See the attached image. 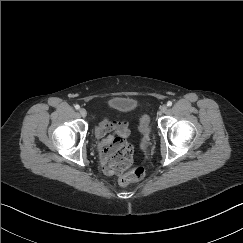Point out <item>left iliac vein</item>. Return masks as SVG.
Masks as SVG:
<instances>
[{"instance_id": "obj_1", "label": "left iliac vein", "mask_w": 243, "mask_h": 243, "mask_svg": "<svg viewBox=\"0 0 243 243\" xmlns=\"http://www.w3.org/2000/svg\"><path fill=\"white\" fill-rule=\"evenodd\" d=\"M160 111H161L162 113H165V112L167 111V106H166V105H162V106L160 107Z\"/></svg>"}]
</instances>
